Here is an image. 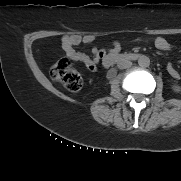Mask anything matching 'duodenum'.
I'll return each mask as SVG.
<instances>
[{
  "mask_svg": "<svg viewBox=\"0 0 181 181\" xmlns=\"http://www.w3.org/2000/svg\"><path fill=\"white\" fill-rule=\"evenodd\" d=\"M139 55L135 53H126V54H108L104 56L103 64L106 67H111L116 64H124L129 61H134L138 59ZM110 76L113 75L112 72L109 74Z\"/></svg>",
  "mask_w": 181,
  "mask_h": 181,
  "instance_id": "1",
  "label": "duodenum"
}]
</instances>
